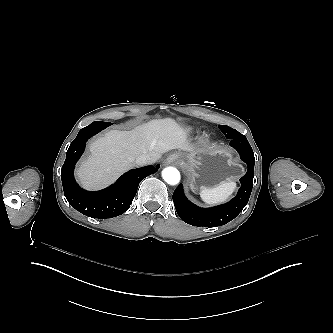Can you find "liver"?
I'll use <instances>...</instances> for the list:
<instances>
[{
    "instance_id": "liver-1",
    "label": "liver",
    "mask_w": 333,
    "mask_h": 333,
    "mask_svg": "<svg viewBox=\"0 0 333 333\" xmlns=\"http://www.w3.org/2000/svg\"><path fill=\"white\" fill-rule=\"evenodd\" d=\"M188 133L172 118L154 119L131 131L110 130L89 144L91 155L80 162L77 178L88 190L104 188L134 168L140 155L154 163L174 149L193 151Z\"/></svg>"
}]
</instances>
